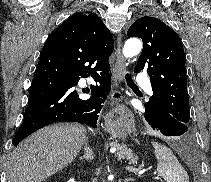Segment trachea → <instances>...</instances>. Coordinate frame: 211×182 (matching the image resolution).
<instances>
[{
  "label": "trachea",
  "mask_w": 211,
  "mask_h": 182,
  "mask_svg": "<svg viewBox=\"0 0 211 182\" xmlns=\"http://www.w3.org/2000/svg\"><path fill=\"white\" fill-rule=\"evenodd\" d=\"M125 78H126L127 84L130 87L135 88V89H138L137 85L133 82V80H132V78L130 77L129 74H126Z\"/></svg>",
  "instance_id": "1"
}]
</instances>
